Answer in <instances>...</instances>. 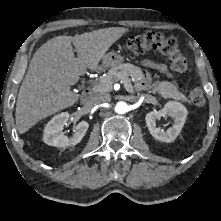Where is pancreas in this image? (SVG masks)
<instances>
[{"label": "pancreas", "mask_w": 221, "mask_h": 221, "mask_svg": "<svg viewBox=\"0 0 221 221\" xmlns=\"http://www.w3.org/2000/svg\"><path fill=\"white\" fill-rule=\"evenodd\" d=\"M142 76V71L139 67L134 66L130 63H124L116 67H112L105 76L99 78V83L96 86L97 92H110L112 90V85L115 81L123 80L130 87L131 81L137 82ZM151 93H158L161 97L168 99L172 98L175 100H180L186 102L187 98L182 94L177 86L171 82L162 81L156 82L152 89Z\"/></svg>", "instance_id": "cf45deb5"}]
</instances>
